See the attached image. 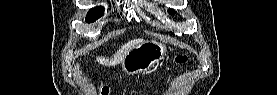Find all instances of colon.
<instances>
[{"mask_svg":"<svg viewBox=\"0 0 277 95\" xmlns=\"http://www.w3.org/2000/svg\"><path fill=\"white\" fill-rule=\"evenodd\" d=\"M177 62H178V64H184V63L187 62V57L186 56H179V57H177ZM107 91H108L107 88L103 89V93H106Z\"/></svg>","mask_w":277,"mask_h":95,"instance_id":"1","label":"colon"}]
</instances>
